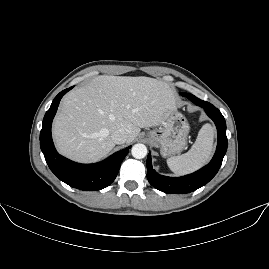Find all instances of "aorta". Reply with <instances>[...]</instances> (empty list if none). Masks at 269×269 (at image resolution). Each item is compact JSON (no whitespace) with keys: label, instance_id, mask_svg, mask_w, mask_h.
<instances>
[{"label":"aorta","instance_id":"obj_1","mask_svg":"<svg viewBox=\"0 0 269 269\" xmlns=\"http://www.w3.org/2000/svg\"><path fill=\"white\" fill-rule=\"evenodd\" d=\"M131 154L135 159H143L147 155V148L144 144H135L131 149Z\"/></svg>","mask_w":269,"mask_h":269}]
</instances>
